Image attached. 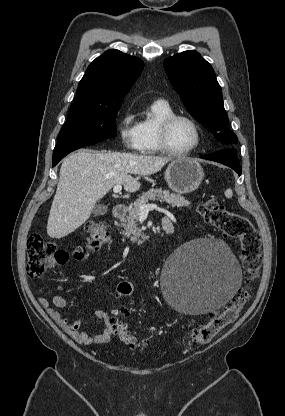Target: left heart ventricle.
I'll list each match as a JSON object with an SVG mask.
<instances>
[{
  "label": "left heart ventricle",
  "mask_w": 285,
  "mask_h": 416,
  "mask_svg": "<svg viewBox=\"0 0 285 416\" xmlns=\"http://www.w3.org/2000/svg\"><path fill=\"white\" fill-rule=\"evenodd\" d=\"M195 130L190 122L184 119L176 120L169 132V142L177 151H184L195 144Z\"/></svg>",
  "instance_id": "b2bd125f"
}]
</instances>
